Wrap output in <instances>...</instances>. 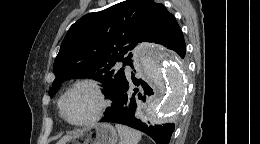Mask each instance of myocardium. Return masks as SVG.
Wrapping results in <instances>:
<instances>
[{
  "label": "myocardium",
  "instance_id": "1",
  "mask_svg": "<svg viewBox=\"0 0 260 144\" xmlns=\"http://www.w3.org/2000/svg\"><path fill=\"white\" fill-rule=\"evenodd\" d=\"M88 87L90 88L94 94L96 95L97 99H98V107L97 110L95 111L94 115L92 117H90L89 119L82 121V122H72L70 121L66 114H65V102L67 100V98L69 97V95L78 87ZM107 107V100L105 98L104 92L101 88V86L94 80L91 79H83V80H79L77 82H75L61 97L60 100V105H59V109H60V114L62 116V118L70 125L72 126H76V127H81V126H86V125H90L94 122H96L103 114V112L105 111Z\"/></svg>",
  "mask_w": 260,
  "mask_h": 144
}]
</instances>
